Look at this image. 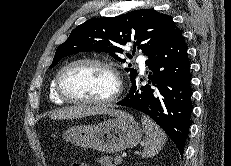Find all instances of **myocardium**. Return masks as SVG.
Returning a JSON list of instances; mask_svg holds the SVG:
<instances>
[{"label": "myocardium", "instance_id": "f54148a6", "mask_svg": "<svg viewBox=\"0 0 231 166\" xmlns=\"http://www.w3.org/2000/svg\"><path fill=\"white\" fill-rule=\"evenodd\" d=\"M79 64H95L105 68L113 76L115 81V88L113 93L104 99H92V100L78 99L67 95L62 88V84H61L62 76L66 70ZM54 82H55L56 92L63 101L72 104L83 105V106H108L115 103L119 99L122 93V80L119 72L110 62L101 58L85 57V58L75 59L67 63L59 70V72L57 73L54 79Z\"/></svg>", "mask_w": 231, "mask_h": 166}]
</instances>
